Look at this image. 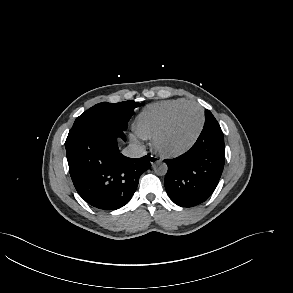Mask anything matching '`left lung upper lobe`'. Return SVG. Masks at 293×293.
I'll list each match as a JSON object with an SVG mask.
<instances>
[{"label": "left lung upper lobe", "instance_id": "5c2ea615", "mask_svg": "<svg viewBox=\"0 0 293 293\" xmlns=\"http://www.w3.org/2000/svg\"><path fill=\"white\" fill-rule=\"evenodd\" d=\"M212 122L218 123L215 117L212 115V113L209 110H206L205 111V125H208Z\"/></svg>", "mask_w": 293, "mask_h": 293}]
</instances>
